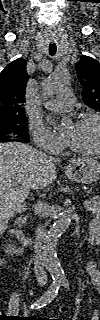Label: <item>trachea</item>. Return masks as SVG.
Listing matches in <instances>:
<instances>
[{"label":"trachea","instance_id":"3493384b","mask_svg":"<svg viewBox=\"0 0 100 320\" xmlns=\"http://www.w3.org/2000/svg\"><path fill=\"white\" fill-rule=\"evenodd\" d=\"M56 50H57V48H56L55 45H50V47H49V53H50L51 56L55 55Z\"/></svg>","mask_w":100,"mask_h":320}]
</instances>
